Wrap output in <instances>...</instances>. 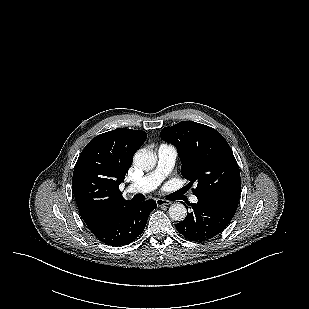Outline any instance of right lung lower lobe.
Masks as SVG:
<instances>
[{"instance_id":"obj_1","label":"right lung lower lobe","mask_w":309,"mask_h":309,"mask_svg":"<svg viewBox=\"0 0 309 309\" xmlns=\"http://www.w3.org/2000/svg\"><path fill=\"white\" fill-rule=\"evenodd\" d=\"M156 207L154 200L140 203L129 201L111 211L91 232L107 245H127L143 232L150 212Z\"/></svg>"}]
</instances>
